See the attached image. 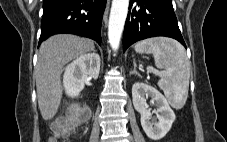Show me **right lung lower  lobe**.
Returning <instances> with one entry per match:
<instances>
[{"label": "right lung lower lobe", "mask_w": 227, "mask_h": 142, "mask_svg": "<svg viewBox=\"0 0 227 142\" xmlns=\"http://www.w3.org/2000/svg\"><path fill=\"white\" fill-rule=\"evenodd\" d=\"M106 0H44L39 44L54 34L70 33L101 44Z\"/></svg>", "instance_id": "1"}]
</instances>
